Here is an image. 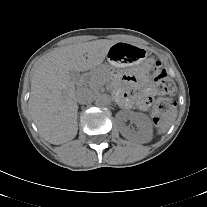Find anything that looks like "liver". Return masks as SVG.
I'll use <instances>...</instances> for the list:
<instances>
[{
    "instance_id": "obj_1",
    "label": "liver",
    "mask_w": 207,
    "mask_h": 207,
    "mask_svg": "<svg viewBox=\"0 0 207 207\" xmlns=\"http://www.w3.org/2000/svg\"><path fill=\"white\" fill-rule=\"evenodd\" d=\"M117 43L100 39L57 48L35 69L28 108L40 135L51 144H63L78 131L76 89L70 72L99 67Z\"/></svg>"
}]
</instances>
